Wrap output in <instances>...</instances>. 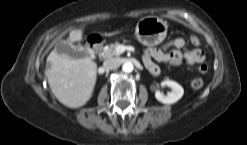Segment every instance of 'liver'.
I'll return each instance as SVG.
<instances>
[{"instance_id": "1", "label": "liver", "mask_w": 247, "mask_h": 145, "mask_svg": "<svg viewBox=\"0 0 247 145\" xmlns=\"http://www.w3.org/2000/svg\"><path fill=\"white\" fill-rule=\"evenodd\" d=\"M81 30L71 31L68 43L79 41ZM45 75L54 96L65 106L79 108L91 98L97 64L90 58H70L53 50L47 57Z\"/></svg>"}]
</instances>
